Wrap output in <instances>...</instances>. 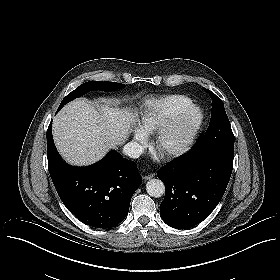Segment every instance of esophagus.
I'll list each match as a JSON object with an SVG mask.
<instances>
[{"label":"esophagus","mask_w":280,"mask_h":280,"mask_svg":"<svg viewBox=\"0 0 280 280\" xmlns=\"http://www.w3.org/2000/svg\"><path fill=\"white\" fill-rule=\"evenodd\" d=\"M153 177H155V174H154V173L143 176V179H144V180H149V179H151V178H153Z\"/></svg>","instance_id":"esophagus-1"}]
</instances>
